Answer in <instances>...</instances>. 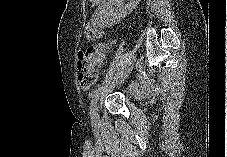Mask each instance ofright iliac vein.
I'll list each match as a JSON object with an SVG mask.
<instances>
[{"label":"right iliac vein","instance_id":"1","mask_svg":"<svg viewBox=\"0 0 227 157\" xmlns=\"http://www.w3.org/2000/svg\"><path fill=\"white\" fill-rule=\"evenodd\" d=\"M134 61H135V59L133 58L130 61V63L127 65L126 70L122 73L119 83H122L125 80V78L128 76V74L130 73V70L132 69V67L134 65ZM96 111H98V107H96ZM97 121H98V113L96 112V116H95V120H94L95 124L97 123Z\"/></svg>","mask_w":227,"mask_h":157}]
</instances>
